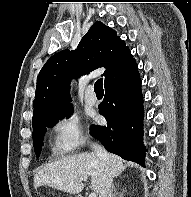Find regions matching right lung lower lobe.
<instances>
[{
    "instance_id": "1",
    "label": "right lung lower lobe",
    "mask_w": 191,
    "mask_h": 197,
    "mask_svg": "<svg viewBox=\"0 0 191 197\" xmlns=\"http://www.w3.org/2000/svg\"><path fill=\"white\" fill-rule=\"evenodd\" d=\"M138 66L105 84L100 113L107 126L92 125L91 135L107 151L145 166L143 146V98Z\"/></svg>"
}]
</instances>
